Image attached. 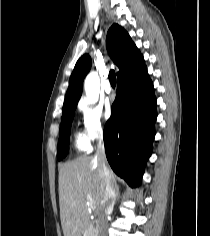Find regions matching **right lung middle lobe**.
I'll list each match as a JSON object with an SVG mask.
<instances>
[{
    "mask_svg": "<svg viewBox=\"0 0 210 236\" xmlns=\"http://www.w3.org/2000/svg\"><path fill=\"white\" fill-rule=\"evenodd\" d=\"M74 109L62 113L60 136L57 147L58 160L63 159L68 154V144L70 138L71 124L73 120Z\"/></svg>",
    "mask_w": 210,
    "mask_h": 236,
    "instance_id": "dd1d6c3e",
    "label": "right lung middle lobe"
}]
</instances>
